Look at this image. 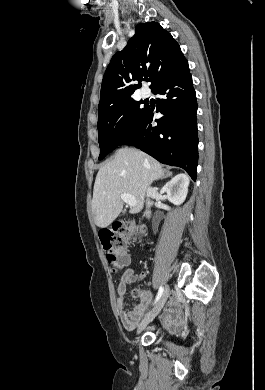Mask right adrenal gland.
Instances as JSON below:
<instances>
[{
  "label": "right adrenal gland",
  "instance_id": "1",
  "mask_svg": "<svg viewBox=\"0 0 265 390\" xmlns=\"http://www.w3.org/2000/svg\"><path fill=\"white\" fill-rule=\"evenodd\" d=\"M169 175H171V172H167V175L166 176H169ZM162 179V178H161Z\"/></svg>",
  "mask_w": 265,
  "mask_h": 390
}]
</instances>
